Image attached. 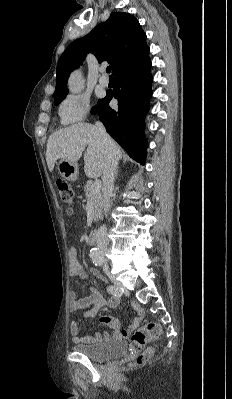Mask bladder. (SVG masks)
I'll list each match as a JSON object with an SVG mask.
<instances>
[{"label": "bladder", "mask_w": 232, "mask_h": 399, "mask_svg": "<svg viewBox=\"0 0 232 399\" xmlns=\"http://www.w3.org/2000/svg\"><path fill=\"white\" fill-rule=\"evenodd\" d=\"M73 350L94 361H107L120 358L128 352V345L123 340L99 343H78Z\"/></svg>", "instance_id": "1"}]
</instances>
